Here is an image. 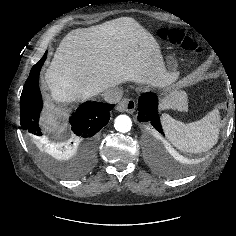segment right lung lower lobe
<instances>
[{
  "instance_id": "98d812e1",
  "label": "right lung lower lobe",
  "mask_w": 236,
  "mask_h": 236,
  "mask_svg": "<svg viewBox=\"0 0 236 236\" xmlns=\"http://www.w3.org/2000/svg\"><path fill=\"white\" fill-rule=\"evenodd\" d=\"M46 54L35 64L25 82L20 99V124L30 137L49 150H62L65 153L77 152L86 160L94 156L97 145L96 133L101 130L110 119V111L114 104L101 102H86L71 116V132L61 142L51 144L42 137L38 121L42 110V97L39 89V73L46 60Z\"/></svg>"
}]
</instances>
